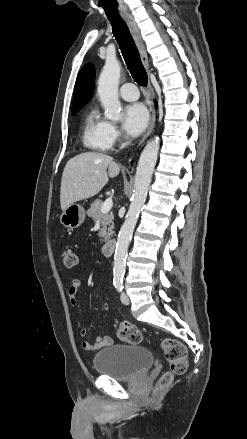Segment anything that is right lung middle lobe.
Here are the masks:
<instances>
[{
    "instance_id": "dd1d6c3e",
    "label": "right lung middle lobe",
    "mask_w": 247,
    "mask_h": 439,
    "mask_svg": "<svg viewBox=\"0 0 247 439\" xmlns=\"http://www.w3.org/2000/svg\"><path fill=\"white\" fill-rule=\"evenodd\" d=\"M80 109L72 111L71 115H75Z\"/></svg>"
}]
</instances>
